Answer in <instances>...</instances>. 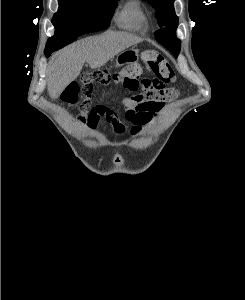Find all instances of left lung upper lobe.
Segmentation results:
<instances>
[{
    "label": "left lung upper lobe",
    "instance_id": "left-lung-upper-lobe-1",
    "mask_svg": "<svg viewBox=\"0 0 245 300\" xmlns=\"http://www.w3.org/2000/svg\"><path fill=\"white\" fill-rule=\"evenodd\" d=\"M147 1L157 10L156 14L159 19V26L163 27L155 32L156 40L177 57L180 52L181 42L176 37L178 17L174 11V0Z\"/></svg>",
    "mask_w": 245,
    "mask_h": 300
}]
</instances>
